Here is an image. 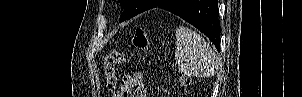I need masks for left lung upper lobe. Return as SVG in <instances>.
<instances>
[{
    "label": "left lung upper lobe",
    "mask_w": 302,
    "mask_h": 97,
    "mask_svg": "<svg viewBox=\"0 0 302 97\" xmlns=\"http://www.w3.org/2000/svg\"><path fill=\"white\" fill-rule=\"evenodd\" d=\"M124 7L119 22L130 19L131 17L146 11L154 0H118Z\"/></svg>",
    "instance_id": "obj_1"
}]
</instances>
